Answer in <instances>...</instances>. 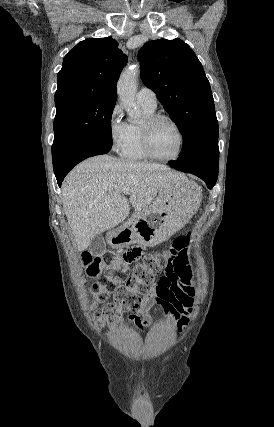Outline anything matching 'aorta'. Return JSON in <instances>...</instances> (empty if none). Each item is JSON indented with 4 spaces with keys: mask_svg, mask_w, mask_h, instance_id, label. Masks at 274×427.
I'll return each mask as SVG.
<instances>
[{
    "mask_svg": "<svg viewBox=\"0 0 274 427\" xmlns=\"http://www.w3.org/2000/svg\"><path fill=\"white\" fill-rule=\"evenodd\" d=\"M139 72L140 69L138 64L131 65L121 73L117 82V94L123 108L132 119L139 116V109L135 102Z\"/></svg>",
    "mask_w": 274,
    "mask_h": 427,
    "instance_id": "762f6f07",
    "label": "aorta"
}]
</instances>
